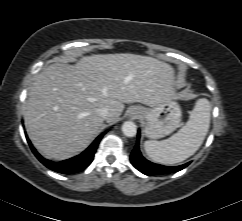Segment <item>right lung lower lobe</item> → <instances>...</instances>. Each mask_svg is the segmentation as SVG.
I'll return each mask as SVG.
<instances>
[{
    "label": "right lung lower lobe",
    "instance_id": "1",
    "mask_svg": "<svg viewBox=\"0 0 242 221\" xmlns=\"http://www.w3.org/2000/svg\"><path fill=\"white\" fill-rule=\"evenodd\" d=\"M105 133H102L100 136H98L95 141L80 155L75 156L71 159L64 160L62 162H52L50 160H47L43 158L32 146L31 142L29 139H27L33 153L36 155V157L40 160L41 163H43L46 167L49 169L63 173V174H73L80 172L84 170L86 167L90 165L94 158V154L96 152V149L98 147V144L103 137Z\"/></svg>",
    "mask_w": 242,
    "mask_h": 221
}]
</instances>
